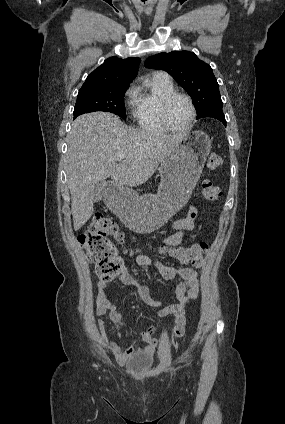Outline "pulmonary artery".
<instances>
[{"instance_id":"e3ab8cb5","label":"pulmonary artery","mask_w":285,"mask_h":424,"mask_svg":"<svg viewBox=\"0 0 285 424\" xmlns=\"http://www.w3.org/2000/svg\"><path fill=\"white\" fill-rule=\"evenodd\" d=\"M157 74L164 79L170 80V76L165 72H158Z\"/></svg>"}]
</instances>
